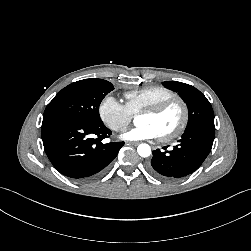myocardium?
<instances>
[{
  "label": "myocardium",
  "instance_id": "f54148a6",
  "mask_svg": "<svg viewBox=\"0 0 251 251\" xmlns=\"http://www.w3.org/2000/svg\"><path fill=\"white\" fill-rule=\"evenodd\" d=\"M173 105H178L180 107L182 113L181 120L174 130L159 136V139L162 142L172 141L185 131L189 122V108L187 103L182 98L175 96L153 106L147 107L139 112V114L159 115Z\"/></svg>",
  "mask_w": 251,
  "mask_h": 251
}]
</instances>
